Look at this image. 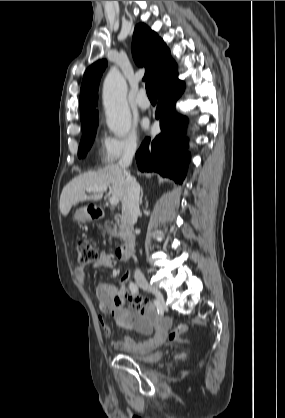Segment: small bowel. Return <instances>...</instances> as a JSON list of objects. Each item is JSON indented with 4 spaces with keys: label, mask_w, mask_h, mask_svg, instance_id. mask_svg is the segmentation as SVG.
<instances>
[{
    "label": "small bowel",
    "mask_w": 285,
    "mask_h": 418,
    "mask_svg": "<svg viewBox=\"0 0 285 418\" xmlns=\"http://www.w3.org/2000/svg\"><path fill=\"white\" fill-rule=\"evenodd\" d=\"M93 266L113 269L116 266V261L107 253L102 252L94 261ZM75 275L81 282L87 281L85 265L78 266L75 269ZM129 278L130 271L126 270L120 277L119 285L99 284L95 292L98 307L103 314L112 315L115 322L124 329L147 332L151 325L155 327V334L149 339L143 341H135L131 338L115 340L112 342L114 349L128 352L154 350L166 342L171 322L168 318L155 316L152 306L130 290ZM99 320L104 333L109 336L111 334L110 324L102 316L99 317Z\"/></svg>",
    "instance_id": "small-bowel-1"
}]
</instances>
